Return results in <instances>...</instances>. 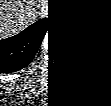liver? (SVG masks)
Listing matches in <instances>:
<instances>
[{
    "label": "liver",
    "mask_w": 111,
    "mask_h": 106,
    "mask_svg": "<svg viewBox=\"0 0 111 106\" xmlns=\"http://www.w3.org/2000/svg\"><path fill=\"white\" fill-rule=\"evenodd\" d=\"M1 37L6 38L16 34L19 30L22 29V26L25 25L23 22L24 16L22 11L16 13V2L14 1H1ZM19 6H22L19 5ZM17 18V20H16ZM18 25L20 27L18 28Z\"/></svg>",
    "instance_id": "1"
}]
</instances>
